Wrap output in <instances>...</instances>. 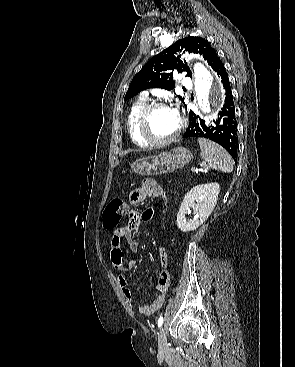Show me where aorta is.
<instances>
[{"mask_svg": "<svg viewBox=\"0 0 295 367\" xmlns=\"http://www.w3.org/2000/svg\"><path fill=\"white\" fill-rule=\"evenodd\" d=\"M194 77L200 109L204 113H209L212 109H219L225 98L221 81L201 63L195 64Z\"/></svg>", "mask_w": 295, "mask_h": 367, "instance_id": "obj_1", "label": "aorta"}]
</instances>
